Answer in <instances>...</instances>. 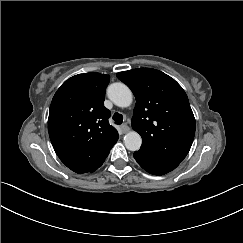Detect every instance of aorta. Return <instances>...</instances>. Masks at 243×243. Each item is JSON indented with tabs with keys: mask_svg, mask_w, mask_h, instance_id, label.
Here are the masks:
<instances>
[{
	"mask_svg": "<svg viewBox=\"0 0 243 243\" xmlns=\"http://www.w3.org/2000/svg\"><path fill=\"white\" fill-rule=\"evenodd\" d=\"M108 98L120 108H128L133 103L131 90L123 83H113L107 89ZM124 144L128 150L136 151L142 144L140 134L134 130L128 131L124 136Z\"/></svg>",
	"mask_w": 243,
	"mask_h": 243,
	"instance_id": "obj_1",
	"label": "aorta"
}]
</instances>
